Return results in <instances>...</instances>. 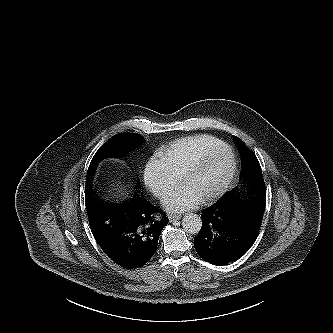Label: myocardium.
<instances>
[{"mask_svg": "<svg viewBox=\"0 0 333 333\" xmlns=\"http://www.w3.org/2000/svg\"><path fill=\"white\" fill-rule=\"evenodd\" d=\"M222 151H226L230 157L229 170L222 183L215 190L202 197V200L204 202H209L221 197L228 191V189L232 185L238 169V159L233 147L227 143H224L206 151L198 158H196L181 174V180L185 183L191 176H193L201 168H203V166L209 160H211L214 156L221 153Z\"/></svg>", "mask_w": 333, "mask_h": 333, "instance_id": "obj_1", "label": "myocardium"}]
</instances>
